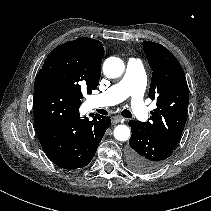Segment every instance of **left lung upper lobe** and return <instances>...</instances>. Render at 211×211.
Instances as JSON below:
<instances>
[{
    "instance_id": "obj_1",
    "label": "left lung upper lobe",
    "mask_w": 211,
    "mask_h": 211,
    "mask_svg": "<svg viewBox=\"0 0 211 211\" xmlns=\"http://www.w3.org/2000/svg\"><path fill=\"white\" fill-rule=\"evenodd\" d=\"M152 69L149 98L157 102L150 121L142 122L153 135L176 148L187 119L189 92L184 71L176 57L161 44L144 41Z\"/></svg>"
}]
</instances>
